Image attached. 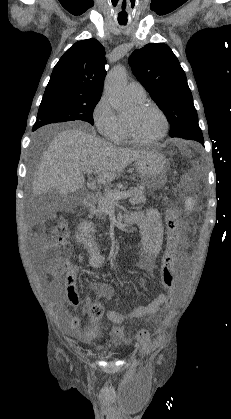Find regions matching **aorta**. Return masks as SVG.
Here are the masks:
<instances>
[{
  "mask_svg": "<svg viewBox=\"0 0 231 419\" xmlns=\"http://www.w3.org/2000/svg\"><path fill=\"white\" fill-rule=\"evenodd\" d=\"M104 90L114 109L122 111L127 108L128 97L124 67L117 66L109 72L105 80Z\"/></svg>",
  "mask_w": 231,
  "mask_h": 419,
  "instance_id": "obj_1",
  "label": "aorta"
}]
</instances>
